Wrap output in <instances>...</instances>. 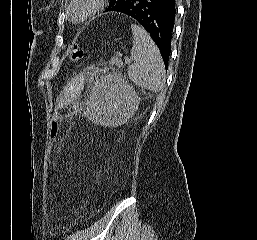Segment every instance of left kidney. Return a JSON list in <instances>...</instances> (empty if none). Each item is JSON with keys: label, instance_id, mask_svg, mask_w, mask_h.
<instances>
[{"label": "left kidney", "instance_id": "1", "mask_svg": "<svg viewBox=\"0 0 257 240\" xmlns=\"http://www.w3.org/2000/svg\"><path fill=\"white\" fill-rule=\"evenodd\" d=\"M139 98L121 75L97 81L92 89L89 119L95 124L116 127L137 110Z\"/></svg>", "mask_w": 257, "mask_h": 240}]
</instances>
